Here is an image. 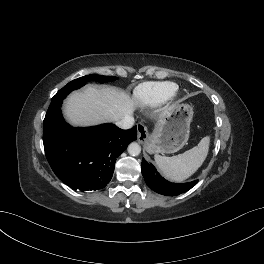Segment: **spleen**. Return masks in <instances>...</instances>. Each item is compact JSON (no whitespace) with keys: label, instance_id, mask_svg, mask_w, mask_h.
Instances as JSON below:
<instances>
[{"label":"spleen","instance_id":"obj_1","mask_svg":"<svg viewBox=\"0 0 264 264\" xmlns=\"http://www.w3.org/2000/svg\"><path fill=\"white\" fill-rule=\"evenodd\" d=\"M209 143L210 137L206 136L197 146L177 156L156 155L155 162L167 179L182 182L193 175L203 164L208 154Z\"/></svg>","mask_w":264,"mask_h":264}]
</instances>
